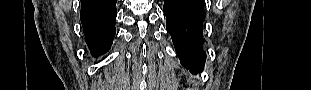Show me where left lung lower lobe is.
Returning a JSON list of instances; mask_svg holds the SVG:
<instances>
[{
  "label": "left lung lower lobe",
  "instance_id": "0a47b994",
  "mask_svg": "<svg viewBox=\"0 0 311 90\" xmlns=\"http://www.w3.org/2000/svg\"><path fill=\"white\" fill-rule=\"evenodd\" d=\"M166 29L172 37L181 64L191 73L201 72L205 63L202 49L204 0H164Z\"/></svg>",
  "mask_w": 311,
  "mask_h": 90
}]
</instances>
